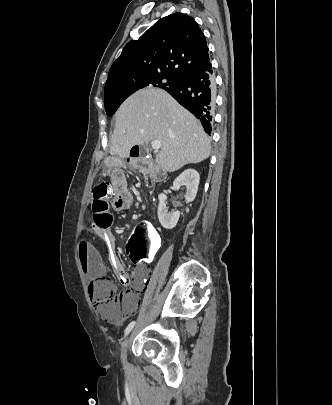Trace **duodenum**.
Segmentation results:
<instances>
[{"instance_id": "410a0bca", "label": "duodenum", "mask_w": 332, "mask_h": 405, "mask_svg": "<svg viewBox=\"0 0 332 405\" xmlns=\"http://www.w3.org/2000/svg\"><path fill=\"white\" fill-rule=\"evenodd\" d=\"M138 157H140V152L138 150L137 151L132 150L130 153V160L137 159ZM150 177L154 182H162L165 180V176L162 173L157 172L155 170L150 171Z\"/></svg>"}]
</instances>
